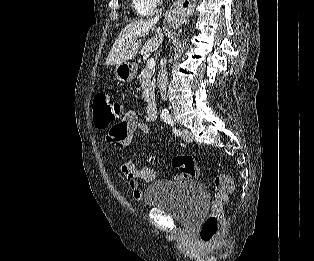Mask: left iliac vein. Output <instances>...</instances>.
<instances>
[{
    "label": "left iliac vein",
    "instance_id": "1",
    "mask_svg": "<svg viewBox=\"0 0 314 261\" xmlns=\"http://www.w3.org/2000/svg\"><path fill=\"white\" fill-rule=\"evenodd\" d=\"M182 138H183L186 142H188V143H190V142L193 141L192 134H191V132H190L189 130H187V129H183V130H182Z\"/></svg>",
    "mask_w": 314,
    "mask_h": 261
}]
</instances>
